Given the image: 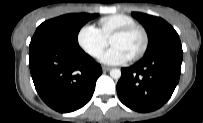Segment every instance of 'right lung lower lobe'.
Masks as SVG:
<instances>
[{"mask_svg":"<svg viewBox=\"0 0 203 123\" xmlns=\"http://www.w3.org/2000/svg\"><path fill=\"white\" fill-rule=\"evenodd\" d=\"M29 66L41 99L62 113L83 107L91 99L96 80L102 73L100 64L81 48L44 42L30 43Z\"/></svg>","mask_w":203,"mask_h":123,"instance_id":"1","label":"right lung lower lobe"}]
</instances>
